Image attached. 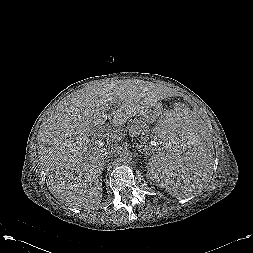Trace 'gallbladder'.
Segmentation results:
<instances>
[{"mask_svg": "<svg viewBox=\"0 0 253 253\" xmlns=\"http://www.w3.org/2000/svg\"><path fill=\"white\" fill-rule=\"evenodd\" d=\"M97 128H98V127H93V130H92V131H93V133H94V131H95Z\"/></svg>", "mask_w": 253, "mask_h": 253, "instance_id": "gallbladder-1", "label": "gallbladder"}]
</instances>
